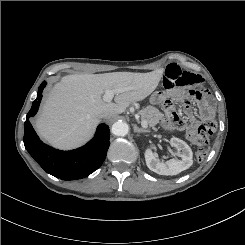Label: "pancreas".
<instances>
[{
    "label": "pancreas",
    "mask_w": 245,
    "mask_h": 245,
    "mask_svg": "<svg viewBox=\"0 0 245 245\" xmlns=\"http://www.w3.org/2000/svg\"><path fill=\"white\" fill-rule=\"evenodd\" d=\"M142 121H146L150 128H154L159 120L163 117V114L155 107L147 106L139 111Z\"/></svg>",
    "instance_id": "1"
}]
</instances>
